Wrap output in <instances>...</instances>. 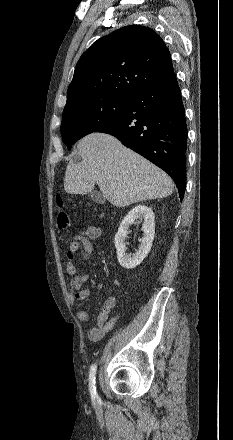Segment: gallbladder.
<instances>
[{
  "label": "gallbladder",
  "mask_w": 233,
  "mask_h": 440,
  "mask_svg": "<svg viewBox=\"0 0 233 440\" xmlns=\"http://www.w3.org/2000/svg\"><path fill=\"white\" fill-rule=\"evenodd\" d=\"M90 197L96 203L103 204L105 202V197L98 191L90 193Z\"/></svg>",
  "instance_id": "gallbladder-1"
}]
</instances>
